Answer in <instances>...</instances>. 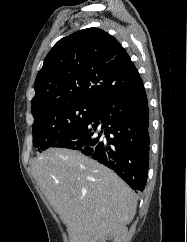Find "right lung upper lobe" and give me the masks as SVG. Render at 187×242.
<instances>
[{
	"label": "right lung upper lobe",
	"instance_id": "obj_1",
	"mask_svg": "<svg viewBox=\"0 0 187 242\" xmlns=\"http://www.w3.org/2000/svg\"><path fill=\"white\" fill-rule=\"evenodd\" d=\"M143 84L129 55L110 34L87 28L59 40L38 72L32 115L72 102L99 105Z\"/></svg>",
	"mask_w": 187,
	"mask_h": 242
}]
</instances>
